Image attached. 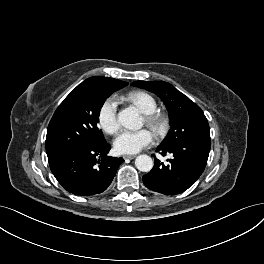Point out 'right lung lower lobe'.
Listing matches in <instances>:
<instances>
[{"label": "right lung lower lobe", "mask_w": 264, "mask_h": 264, "mask_svg": "<svg viewBox=\"0 0 264 264\" xmlns=\"http://www.w3.org/2000/svg\"><path fill=\"white\" fill-rule=\"evenodd\" d=\"M110 145H74L47 155L50 169L68 192L90 196L111 184L123 158L107 156Z\"/></svg>", "instance_id": "obj_1"}]
</instances>
